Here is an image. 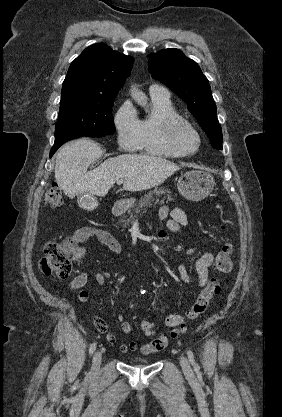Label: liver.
<instances>
[{"mask_svg": "<svg viewBox=\"0 0 282 417\" xmlns=\"http://www.w3.org/2000/svg\"><path fill=\"white\" fill-rule=\"evenodd\" d=\"M102 150L94 140L78 138L67 142L55 160V180L69 198L90 192L105 196L116 180H124L123 190H147L162 184L181 166L150 154H119L106 158L94 170L89 164L101 156Z\"/></svg>", "mask_w": 282, "mask_h": 417, "instance_id": "obj_1", "label": "liver"}]
</instances>
